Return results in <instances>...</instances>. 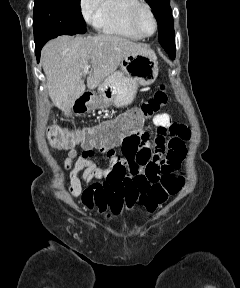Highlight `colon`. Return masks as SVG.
Segmentation results:
<instances>
[{
    "label": "colon",
    "mask_w": 240,
    "mask_h": 288,
    "mask_svg": "<svg viewBox=\"0 0 240 288\" xmlns=\"http://www.w3.org/2000/svg\"><path fill=\"white\" fill-rule=\"evenodd\" d=\"M167 102L166 87L161 85L148 101L124 112L114 120L76 132L53 126L48 129L47 138L53 147L60 149H69L77 145L116 142L122 138L137 135L142 130L145 121L156 114ZM183 185V177L164 174L159 183L152 185L147 193L140 195L139 203L148 213H151L164 204L169 197L176 195Z\"/></svg>",
    "instance_id": "colon-1"
}]
</instances>
